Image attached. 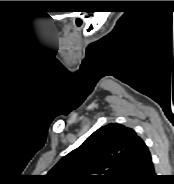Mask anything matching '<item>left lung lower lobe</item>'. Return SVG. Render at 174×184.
<instances>
[{"label": "left lung lower lobe", "instance_id": "0a47b994", "mask_svg": "<svg viewBox=\"0 0 174 184\" xmlns=\"http://www.w3.org/2000/svg\"><path fill=\"white\" fill-rule=\"evenodd\" d=\"M155 178L150 152L143 140L129 166L126 180L121 184H151Z\"/></svg>", "mask_w": 174, "mask_h": 184}]
</instances>
